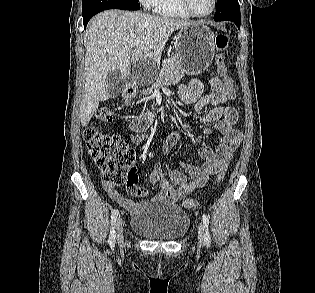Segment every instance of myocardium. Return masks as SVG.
Here are the masks:
<instances>
[{"label":"myocardium","mask_w":315,"mask_h":293,"mask_svg":"<svg viewBox=\"0 0 315 293\" xmlns=\"http://www.w3.org/2000/svg\"><path fill=\"white\" fill-rule=\"evenodd\" d=\"M181 1H182V5L185 8V10L192 17H197V18H206V17L210 16L215 11L216 6H217V0H212V7H211L210 11L206 14H198L193 10L190 0H181Z\"/></svg>","instance_id":"myocardium-1"}]
</instances>
